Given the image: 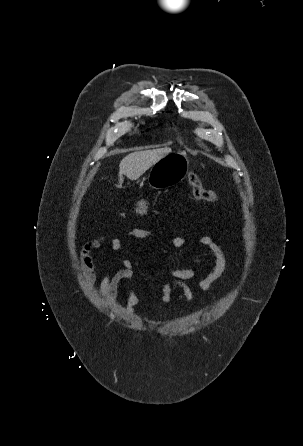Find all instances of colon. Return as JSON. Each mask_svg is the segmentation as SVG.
I'll return each mask as SVG.
<instances>
[{
	"label": "colon",
	"instance_id": "obj_1",
	"mask_svg": "<svg viewBox=\"0 0 303 446\" xmlns=\"http://www.w3.org/2000/svg\"><path fill=\"white\" fill-rule=\"evenodd\" d=\"M187 183L191 188V191L195 198L207 201V202H215L217 200V195L213 190L205 188L200 180V178L193 172H189L186 176ZM151 206V199L146 198L139 201L131 210V213L134 215H142L147 210H149ZM127 213H123L122 217L126 218Z\"/></svg>",
	"mask_w": 303,
	"mask_h": 446
}]
</instances>
